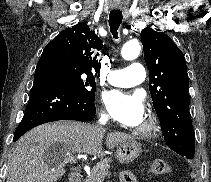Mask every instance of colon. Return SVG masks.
<instances>
[{"label": "colon", "mask_w": 211, "mask_h": 182, "mask_svg": "<svg viewBox=\"0 0 211 182\" xmlns=\"http://www.w3.org/2000/svg\"><path fill=\"white\" fill-rule=\"evenodd\" d=\"M170 171V164L164 160H155L150 166V173L154 176H162L168 174Z\"/></svg>", "instance_id": "colon-1"}]
</instances>
